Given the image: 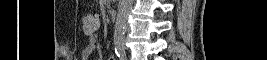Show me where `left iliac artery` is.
Masks as SVG:
<instances>
[{
    "label": "left iliac artery",
    "instance_id": "obj_1",
    "mask_svg": "<svg viewBox=\"0 0 267 60\" xmlns=\"http://www.w3.org/2000/svg\"><path fill=\"white\" fill-rule=\"evenodd\" d=\"M118 57L120 58V60H127V57L125 54H121Z\"/></svg>",
    "mask_w": 267,
    "mask_h": 60
}]
</instances>
